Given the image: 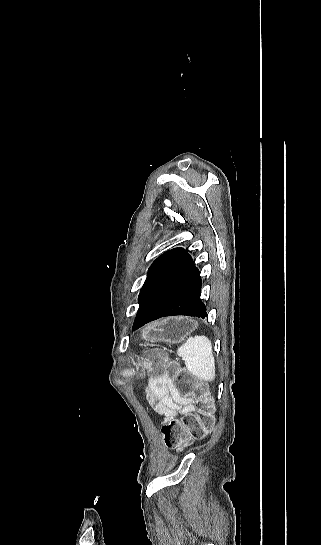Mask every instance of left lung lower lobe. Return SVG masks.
<instances>
[{
    "instance_id": "1",
    "label": "left lung lower lobe",
    "mask_w": 321,
    "mask_h": 545,
    "mask_svg": "<svg viewBox=\"0 0 321 545\" xmlns=\"http://www.w3.org/2000/svg\"><path fill=\"white\" fill-rule=\"evenodd\" d=\"M200 271L183 248H174L141 290L133 330L164 316L187 315L204 319L200 299Z\"/></svg>"
}]
</instances>
